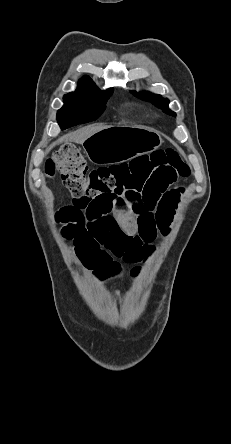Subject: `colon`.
Returning <instances> with one entry per match:
<instances>
[{"instance_id":"1","label":"colon","mask_w":231,"mask_h":444,"mask_svg":"<svg viewBox=\"0 0 231 444\" xmlns=\"http://www.w3.org/2000/svg\"><path fill=\"white\" fill-rule=\"evenodd\" d=\"M59 172L74 200L125 197L138 203L153 185L167 187L190 174L189 166L174 149L158 150L128 163L89 170L73 145H63L46 161L45 173Z\"/></svg>"}]
</instances>
